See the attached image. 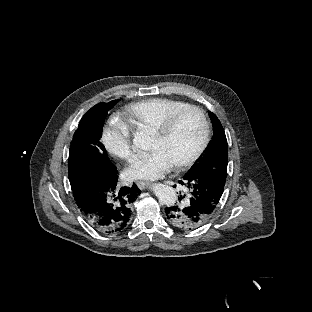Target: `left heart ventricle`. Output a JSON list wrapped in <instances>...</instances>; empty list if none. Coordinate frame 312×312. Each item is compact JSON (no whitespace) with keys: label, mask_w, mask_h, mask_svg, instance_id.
<instances>
[{"label":"left heart ventricle","mask_w":312,"mask_h":312,"mask_svg":"<svg viewBox=\"0 0 312 312\" xmlns=\"http://www.w3.org/2000/svg\"><path fill=\"white\" fill-rule=\"evenodd\" d=\"M204 138L203 120L196 113H187L175 120L164 140L167 159L182 164L192 159Z\"/></svg>","instance_id":"1"}]
</instances>
